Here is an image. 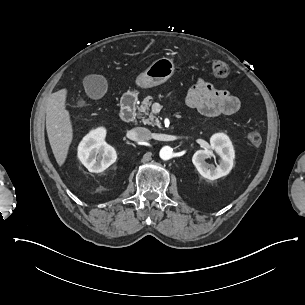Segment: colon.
<instances>
[{
  "label": "colon",
  "instance_id": "1",
  "mask_svg": "<svg viewBox=\"0 0 305 305\" xmlns=\"http://www.w3.org/2000/svg\"><path fill=\"white\" fill-rule=\"evenodd\" d=\"M212 70L217 77L226 78L229 75L228 65L220 60L212 61ZM248 138L250 144L254 147H259L263 144V131L262 130H252L248 133Z\"/></svg>",
  "mask_w": 305,
  "mask_h": 305
}]
</instances>
